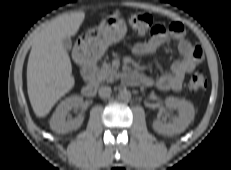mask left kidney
<instances>
[{"label": "left kidney", "instance_id": "5707ae66", "mask_svg": "<svg viewBox=\"0 0 231 170\" xmlns=\"http://www.w3.org/2000/svg\"><path fill=\"white\" fill-rule=\"evenodd\" d=\"M165 105L177 109L178 116L174 117L171 123L155 120L153 122L154 130L163 135H174L184 132L194 119V106L186 100H181L175 97H167L165 99Z\"/></svg>", "mask_w": 231, "mask_h": 170}]
</instances>
